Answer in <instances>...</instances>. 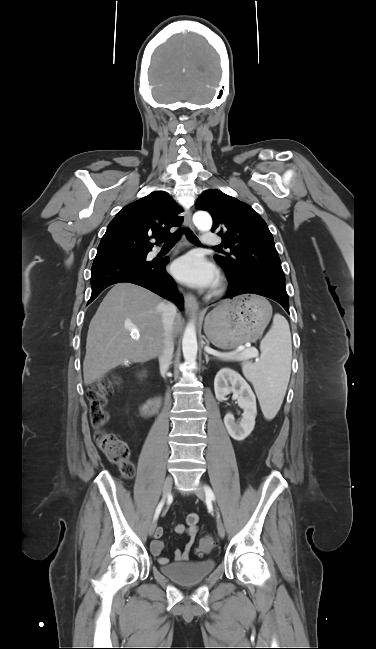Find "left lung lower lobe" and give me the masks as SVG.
Here are the masks:
<instances>
[{
    "mask_svg": "<svg viewBox=\"0 0 376 649\" xmlns=\"http://www.w3.org/2000/svg\"><path fill=\"white\" fill-rule=\"evenodd\" d=\"M227 276L229 277L228 281L231 290L224 298L232 299L242 294H257L278 302L289 314V300L285 280L258 270L247 271L239 280H233L228 272Z\"/></svg>",
    "mask_w": 376,
    "mask_h": 649,
    "instance_id": "0a47b994",
    "label": "left lung lower lobe"
}]
</instances>
